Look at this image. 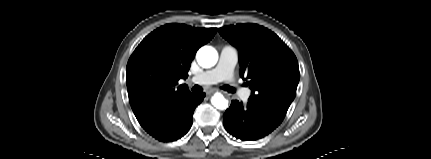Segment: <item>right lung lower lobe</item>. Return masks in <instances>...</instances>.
<instances>
[{
	"label": "right lung lower lobe",
	"mask_w": 431,
	"mask_h": 159,
	"mask_svg": "<svg viewBox=\"0 0 431 159\" xmlns=\"http://www.w3.org/2000/svg\"><path fill=\"white\" fill-rule=\"evenodd\" d=\"M204 97L205 93H186L141 126L161 142L176 141L189 131L193 112Z\"/></svg>",
	"instance_id": "1"
}]
</instances>
